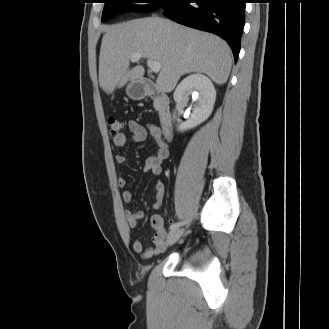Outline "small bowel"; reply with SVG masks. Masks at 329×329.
<instances>
[{
    "label": "small bowel",
    "mask_w": 329,
    "mask_h": 329,
    "mask_svg": "<svg viewBox=\"0 0 329 329\" xmlns=\"http://www.w3.org/2000/svg\"><path fill=\"white\" fill-rule=\"evenodd\" d=\"M128 129L131 136L121 134L112 138L115 146L122 148L127 145L129 141L140 142L143 141L148 135L157 143V151L149 156L143 167V171L152 175H160L162 173V163L168 157L169 150L168 145L162 138L161 129L158 125L153 123L142 124L136 120H130L128 122ZM116 161L119 164H124L127 161V155L125 153H119L116 155ZM126 179L124 177L118 178V185L120 187L126 186ZM165 186L162 181H157L155 185V200L153 207L155 209L160 208L164 197ZM122 200L125 203H130L132 200V193L130 190H123L121 193ZM144 212L142 210H127L125 212V220L130 228H135L138 221L143 219ZM151 226L154 230L152 237L153 247H145L141 241H135L133 243V250L141 254L143 259H150L153 256L165 251L167 246V231L164 225L163 218L159 214H153L151 216Z\"/></svg>",
    "instance_id": "small-bowel-1"
}]
</instances>
